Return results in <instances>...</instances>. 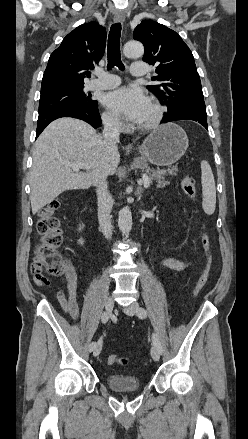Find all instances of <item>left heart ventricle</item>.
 Listing matches in <instances>:
<instances>
[{
  "mask_svg": "<svg viewBox=\"0 0 248 439\" xmlns=\"http://www.w3.org/2000/svg\"><path fill=\"white\" fill-rule=\"evenodd\" d=\"M153 113H154V110H153L152 106L149 104L143 118L138 123L140 124V123H145V122L149 121L151 119V117L153 116Z\"/></svg>",
  "mask_w": 248,
  "mask_h": 439,
  "instance_id": "1",
  "label": "left heart ventricle"
}]
</instances>
